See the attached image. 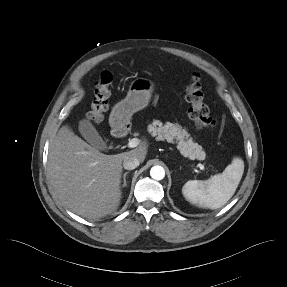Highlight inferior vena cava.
<instances>
[{
  "label": "inferior vena cava",
  "mask_w": 287,
  "mask_h": 287,
  "mask_svg": "<svg viewBox=\"0 0 287 287\" xmlns=\"http://www.w3.org/2000/svg\"><path fill=\"white\" fill-rule=\"evenodd\" d=\"M140 164V161L137 157L134 156H127L123 160V167L126 170H133L136 167H138Z\"/></svg>",
  "instance_id": "inferior-vena-cava-1"
}]
</instances>
